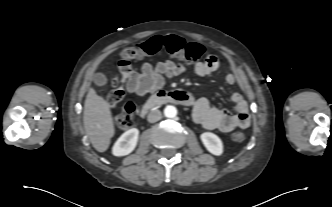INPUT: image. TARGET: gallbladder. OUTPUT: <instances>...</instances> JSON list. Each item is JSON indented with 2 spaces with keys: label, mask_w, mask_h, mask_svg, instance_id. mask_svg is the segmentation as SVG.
Returning <instances> with one entry per match:
<instances>
[{
  "label": "gallbladder",
  "mask_w": 332,
  "mask_h": 207,
  "mask_svg": "<svg viewBox=\"0 0 332 207\" xmlns=\"http://www.w3.org/2000/svg\"><path fill=\"white\" fill-rule=\"evenodd\" d=\"M94 83L97 85V86H104L107 84V78L104 74L102 73H97L95 76H94Z\"/></svg>",
  "instance_id": "bac80fb5"
}]
</instances>
